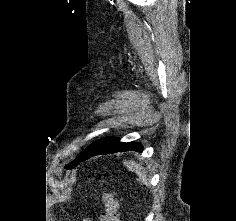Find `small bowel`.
<instances>
[{"label":"small bowel","mask_w":236,"mask_h":221,"mask_svg":"<svg viewBox=\"0 0 236 221\" xmlns=\"http://www.w3.org/2000/svg\"><path fill=\"white\" fill-rule=\"evenodd\" d=\"M84 221H90L88 218H85Z\"/></svg>","instance_id":"small-bowel-1"}]
</instances>
